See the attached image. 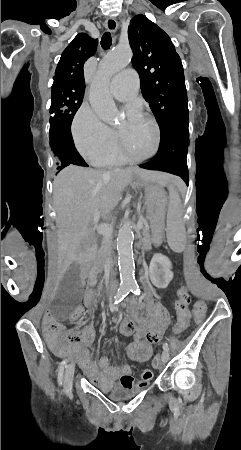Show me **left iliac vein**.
<instances>
[{"instance_id":"obj_1","label":"left iliac vein","mask_w":241,"mask_h":450,"mask_svg":"<svg viewBox=\"0 0 241 450\" xmlns=\"http://www.w3.org/2000/svg\"><path fill=\"white\" fill-rule=\"evenodd\" d=\"M169 359H170L169 352L166 351V350L163 351V353H162V362H163V364H166L169 361Z\"/></svg>"}]
</instances>
